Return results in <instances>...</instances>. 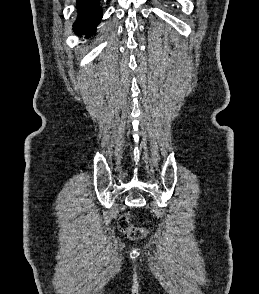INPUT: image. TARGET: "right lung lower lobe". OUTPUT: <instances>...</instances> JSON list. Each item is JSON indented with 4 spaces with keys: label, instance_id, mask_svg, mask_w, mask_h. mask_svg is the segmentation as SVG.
<instances>
[{
    "label": "right lung lower lobe",
    "instance_id": "obj_1",
    "mask_svg": "<svg viewBox=\"0 0 259 294\" xmlns=\"http://www.w3.org/2000/svg\"><path fill=\"white\" fill-rule=\"evenodd\" d=\"M76 2L77 17L73 29L77 35L86 34L90 37L102 18L100 0H76Z\"/></svg>",
    "mask_w": 259,
    "mask_h": 294
}]
</instances>
